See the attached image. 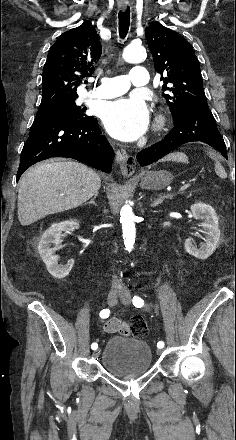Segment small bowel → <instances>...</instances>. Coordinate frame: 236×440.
Listing matches in <instances>:
<instances>
[{
	"label": "small bowel",
	"mask_w": 236,
	"mask_h": 440,
	"mask_svg": "<svg viewBox=\"0 0 236 440\" xmlns=\"http://www.w3.org/2000/svg\"><path fill=\"white\" fill-rule=\"evenodd\" d=\"M131 329L130 321H121L118 318L109 319L104 324L105 333H118L119 339H128L129 331Z\"/></svg>",
	"instance_id": "small-bowel-1"
}]
</instances>
